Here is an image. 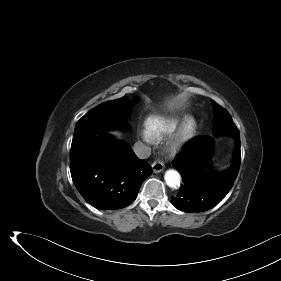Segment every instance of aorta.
I'll use <instances>...</instances> for the list:
<instances>
[{
  "instance_id": "762f6f07",
  "label": "aorta",
  "mask_w": 281,
  "mask_h": 281,
  "mask_svg": "<svg viewBox=\"0 0 281 281\" xmlns=\"http://www.w3.org/2000/svg\"><path fill=\"white\" fill-rule=\"evenodd\" d=\"M164 179L170 188H177L180 185L181 176L178 171L169 169L165 172Z\"/></svg>"
}]
</instances>
